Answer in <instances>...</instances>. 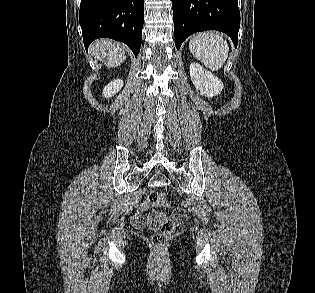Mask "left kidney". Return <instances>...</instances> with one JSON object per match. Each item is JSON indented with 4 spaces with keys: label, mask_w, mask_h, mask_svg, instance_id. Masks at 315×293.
<instances>
[{
    "label": "left kidney",
    "mask_w": 315,
    "mask_h": 293,
    "mask_svg": "<svg viewBox=\"0 0 315 293\" xmlns=\"http://www.w3.org/2000/svg\"><path fill=\"white\" fill-rule=\"evenodd\" d=\"M190 76L192 83L202 96L212 98L220 94L224 88L221 80L198 63H191Z\"/></svg>",
    "instance_id": "5707ae66"
}]
</instances>
